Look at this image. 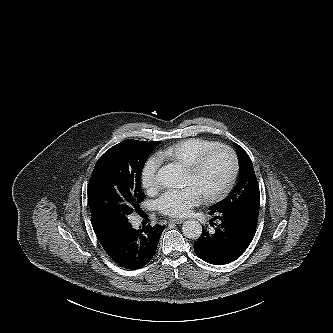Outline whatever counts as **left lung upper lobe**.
Instances as JSON below:
<instances>
[{
    "instance_id": "obj_1",
    "label": "left lung upper lobe",
    "mask_w": 333,
    "mask_h": 333,
    "mask_svg": "<svg viewBox=\"0 0 333 333\" xmlns=\"http://www.w3.org/2000/svg\"><path fill=\"white\" fill-rule=\"evenodd\" d=\"M239 161V179L233 192L222 201L212 205L211 211L258 212L260 192L253 164L246 151L236 144Z\"/></svg>"
}]
</instances>
